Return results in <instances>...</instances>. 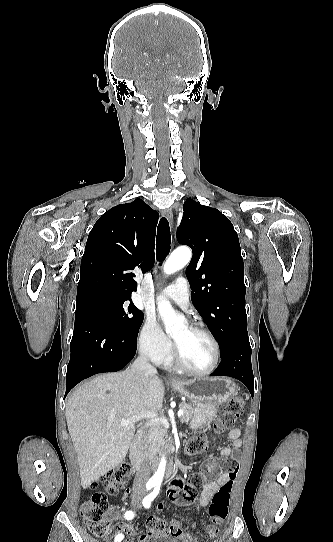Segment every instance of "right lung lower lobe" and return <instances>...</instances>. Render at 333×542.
Returning a JSON list of instances; mask_svg holds the SVG:
<instances>
[{
	"mask_svg": "<svg viewBox=\"0 0 333 542\" xmlns=\"http://www.w3.org/2000/svg\"><path fill=\"white\" fill-rule=\"evenodd\" d=\"M136 349L137 339L131 340L118 331L98 311L76 308L65 396L83 379L121 370L134 357Z\"/></svg>",
	"mask_w": 333,
	"mask_h": 542,
	"instance_id": "right-lung-lower-lobe-1",
	"label": "right lung lower lobe"
}]
</instances>
